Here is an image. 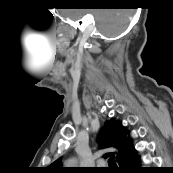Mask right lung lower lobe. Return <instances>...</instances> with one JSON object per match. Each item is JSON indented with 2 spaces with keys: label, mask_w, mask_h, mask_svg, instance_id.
I'll use <instances>...</instances> for the list:
<instances>
[{
  "label": "right lung lower lobe",
  "mask_w": 173,
  "mask_h": 173,
  "mask_svg": "<svg viewBox=\"0 0 173 173\" xmlns=\"http://www.w3.org/2000/svg\"><path fill=\"white\" fill-rule=\"evenodd\" d=\"M139 156L134 149L119 164L117 173H150L151 169L139 166Z\"/></svg>",
  "instance_id": "98d812e1"
}]
</instances>
